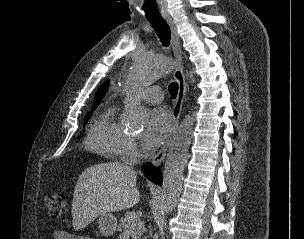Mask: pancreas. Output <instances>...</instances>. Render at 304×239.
<instances>
[{
    "instance_id": "obj_1",
    "label": "pancreas",
    "mask_w": 304,
    "mask_h": 239,
    "mask_svg": "<svg viewBox=\"0 0 304 239\" xmlns=\"http://www.w3.org/2000/svg\"><path fill=\"white\" fill-rule=\"evenodd\" d=\"M118 227L123 228L125 231H130L132 239H146L143 237L146 232L144 223L139 217V213L135 211H128L124 218H120Z\"/></svg>"
}]
</instances>
